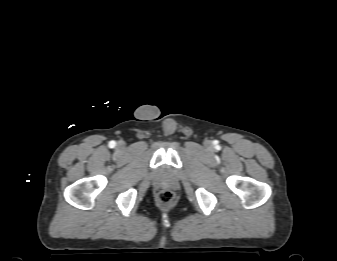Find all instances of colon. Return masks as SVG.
Returning a JSON list of instances; mask_svg holds the SVG:
<instances>
[{"instance_id": "5ec220e1", "label": "colon", "mask_w": 337, "mask_h": 261, "mask_svg": "<svg viewBox=\"0 0 337 261\" xmlns=\"http://www.w3.org/2000/svg\"><path fill=\"white\" fill-rule=\"evenodd\" d=\"M158 200L162 205H170L174 201V193L170 190H162L158 194Z\"/></svg>"}]
</instances>
